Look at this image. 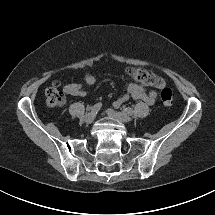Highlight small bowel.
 Segmentation results:
<instances>
[{"label":"small bowel","mask_w":215,"mask_h":215,"mask_svg":"<svg viewBox=\"0 0 215 215\" xmlns=\"http://www.w3.org/2000/svg\"><path fill=\"white\" fill-rule=\"evenodd\" d=\"M83 79L84 82L89 86L94 85L96 81L95 77L90 73L85 74ZM64 92L67 95L75 97H84L87 94L82 85L79 83H71L67 85L64 88ZM156 97L157 94L155 91L147 92L141 85L136 83H130L127 88V94L115 101L114 105L115 107H119L129 98L143 101L148 105H154L156 102Z\"/></svg>","instance_id":"c3829d8e"}]
</instances>
